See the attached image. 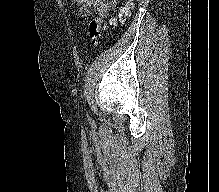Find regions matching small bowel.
Masks as SVG:
<instances>
[{"label":"small bowel","mask_w":219,"mask_h":192,"mask_svg":"<svg viewBox=\"0 0 219 192\" xmlns=\"http://www.w3.org/2000/svg\"><path fill=\"white\" fill-rule=\"evenodd\" d=\"M79 6V13L82 16H89L93 12L105 18L108 13L116 6V0H72Z\"/></svg>","instance_id":"small-bowel-1"}]
</instances>
